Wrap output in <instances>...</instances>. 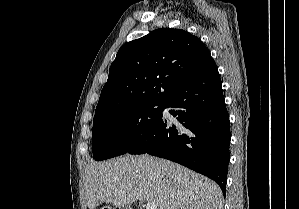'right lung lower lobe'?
I'll use <instances>...</instances> for the list:
<instances>
[{"label":"right lung lower lobe","mask_w":299,"mask_h":209,"mask_svg":"<svg viewBox=\"0 0 299 209\" xmlns=\"http://www.w3.org/2000/svg\"><path fill=\"white\" fill-rule=\"evenodd\" d=\"M163 108H169L175 119L161 116L127 153L177 162L216 181L225 195L231 136L218 69H206L182 81Z\"/></svg>","instance_id":"1"}]
</instances>
